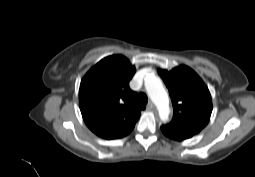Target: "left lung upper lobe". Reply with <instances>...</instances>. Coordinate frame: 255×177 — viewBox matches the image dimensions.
I'll return each instance as SVG.
<instances>
[{
	"label": "left lung upper lobe",
	"mask_w": 255,
	"mask_h": 177,
	"mask_svg": "<svg viewBox=\"0 0 255 177\" xmlns=\"http://www.w3.org/2000/svg\"><path fill=\"white\" fill-rule=\"evenodd\" d=\"M169 89L173 120L161 130L174 140H185L198 134L209 122L212 113L210 92L202 79L188 66L171 71L159 70Z\"/></svg>",
	"instance_id": "1"
}]
</instances>
